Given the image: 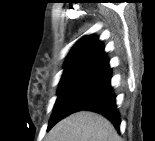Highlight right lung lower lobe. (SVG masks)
<instances>
[{
    "label": "right lung lower lobe",
    "instance_id": "obj_1",
    "mask_svg": "<svg viewBox=\"0 0 155 141\" xmlns=\"http://www.w3.org/2000/svg\"><path fill=\"white\" fill-rule=\"evenodd\" d=\"M112 70L105 62L61 109V119L78 111H92L106 117L119 130L120 115L110 85ZM60 119V120H61Z\"/></svg>",
    "mask_w": 155,
    "mask_h": 141
}]
</instances>
